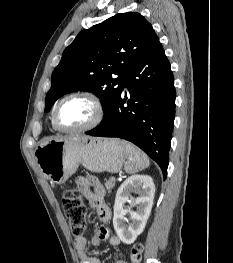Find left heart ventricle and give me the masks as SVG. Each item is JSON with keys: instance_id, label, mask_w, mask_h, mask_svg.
I'll return each mask as SVG.
<instances>
[{"instance_id": "1", "label": "left heart ventricle", "mask_w": 233, "mask_h": 263, "mask_svg": "<svg viewBox=\"0 0 233 263\" xmlns=\"http://www.w3.org/2000/svg\"><path fill=\"white\" fill-rule=\"evenodd\" d=\"M93 105L84 98H71L59 108L58 121L67 129H77L88 124L94 117Z\"/></svg>"}]
</instances>
